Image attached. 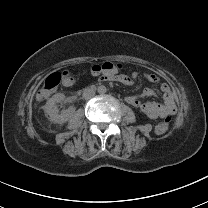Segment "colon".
I'll use <instances>...</instances> for the list:
<instances>
[{"label": "colon", "mask_w": 208, "mask_h": 208, "mask_svg": "<svg viewBox=\"0 0 208 208\" xmlns=\"http://www.w3.org/2000/svg\"><path fill=\"white\" fill-rule=\"evenodd\" d=\"M122 70V65L116 61L97 62L87 68V72L93 76L100 77L104 75H119ZM73 77L69 70L62 72L51 73L44 82V91H54L61 84H69ZM170 129V120L165 119L157 124L155 132L158 135H163Z\"/></svg>", "instance_id": "obj_1"}]
</instances>
